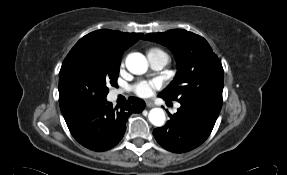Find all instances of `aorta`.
Wrapping results in <instances>:
<instances>
[{
    "label": "aorta",
    "instance_id": "762f6f07",
    "mask_svg": "<svg viewBox=\"0 0 287 175\" xmlns=\"http://www.w3.org/2000/svg\"><path fill=\"white\" fill-rule=\"evenodd\" d=\"M126 67L133 74H144L148 69L146 57L138 52L130 53L126 58ZM149 121L157 127L165 123V112L162 108H153L148 115Z\"/></svg>",
    "mask_w": 287,
    "mask_h": 175
}]
</instances>
